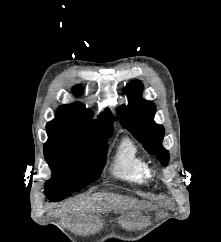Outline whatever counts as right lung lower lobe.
<instances>
[{
	"label": "right lung lower lobe",
	"instance_id": "obj_1",
	"mask_svg": "<svg viewBox=\"0 0 221 242\" xmlns=\"http://www.w3.org/2000/svg\"><path fill=\"white\" fill-rule=\"evenodd\" d=\"M47 197L52 201V202H57V201H60V200H63V198H60V197H58V196H56V195H49V194H47ZM65 199V198H64Z\"/></svg>",
	"mask_w": 221,
	"mask_h": 242
}]
</instances>
